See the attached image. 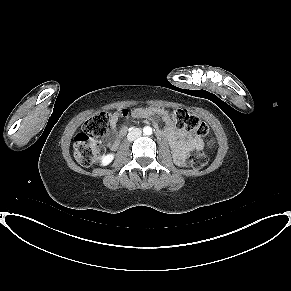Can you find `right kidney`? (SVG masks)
I'll use <instances>...</instances> for the list:
<instances>
[{
	"label": "right kidney",
	"instance_id": "ca27d5eb",
	"mask_svg": "<svg viewBox=\"0 0 291 291\" xmlns=\"http://www.w3.org/2000/svg\"><path fill=\"white\" fill-rule=\"evenodd\" d=\"M113 159H114L113 154H107L101 158V165L106 166L110 164L113 161Z\"/></svg>",
	"mask_w": 291,
	"mask_h": 291
}]
</instances>
